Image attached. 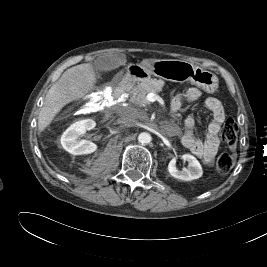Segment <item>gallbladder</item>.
<instances>
[{"label": "gallbladder", "mask_w": 267, "mask_h": 267, "mask_svg": "<svg viewBox=\"0 0 267 267\" xmlns=\"http://www.w3.org/2000/svg\"><path fill=\"white\" fill-rule=\"evenodd\" d=\"M123 61L122 56H113V57H99L94 65V70L96 74L101 71H108Z\"/></svg>", "instance_id": "gallbladder-1"}]
</instances>
